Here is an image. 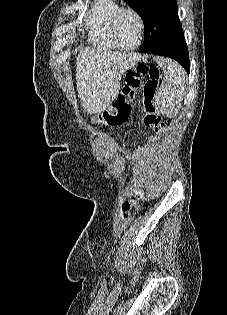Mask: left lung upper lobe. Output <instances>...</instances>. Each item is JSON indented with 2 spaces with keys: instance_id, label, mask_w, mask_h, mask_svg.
<instances>
[{
  "instance_id": "obj_1",
  "label": "left lung upper lobe",
  "mask_w": 227,
  "mask_h": 315,
  "mask_svg": "<svg viewBox=\"0 0 227 315\" xmlns=\"http://www.w3.org/2000/svg\"><path fill=\"white\" fill-rule=\"evenodd\" d=\"M143 19V45L163 47L184 38L176 0H124Z\"/></svg>"
}]
</instances>
